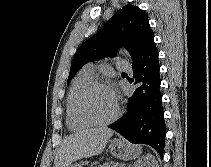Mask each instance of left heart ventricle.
<instances>
[{
    "mask_svg": "<svg viewBox=\"0 0 211 167\" xmlns=\"http://www.w3.org/2000/svg\"><path fill=\"white\" fill-rule=\"evenodd\" d=\"M85 108L93 118L106 120L115 112V98L110 90L99 87L88 94L85 100Z\"/></svg>",
    "mask_w": 211,
    "mask_h": 167,
    "instance_id": "left-heart-ventricle-1",
    "label": "left heart ventricle"
}]
</instances>
